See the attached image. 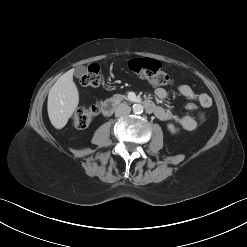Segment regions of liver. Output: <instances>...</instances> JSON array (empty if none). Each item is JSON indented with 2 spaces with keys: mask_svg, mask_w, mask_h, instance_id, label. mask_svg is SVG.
<instances>
[{
  "mask_svg": "<svg viewBox=\"0 0 247 247\" xmlns=\"http://www.w3.org/2000/svg\"><path fill=\"white\" fill-rule=\"evenodd\" d=\"M79 92L73 81V70L64 73L48 94L47 110L51 124L62 129L76 110Z\"/></svg>",
  "mask_w": 247,
  "mask_h": 247,
  "instance_id": "1",
  "label": "liver"
}]
</instances>
